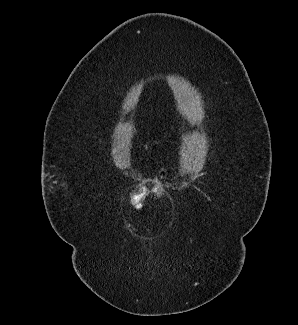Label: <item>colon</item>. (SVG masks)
<instances>
[{"label": "colon", "instance_id": "1", "mask_svg": "<svg viewBox=\"0 0 298 325\" xmlns=\"http://www.w3.org/2000/svg\"><path fill=\"white\" fill-rule=\"evenodd\" d=\"M164 173H161L160 180L164 179ZM158 195L162 196L164 194V187L161 182L155 184L152 187H149L148 185L141 184L137 187L136 193L133 197V203L137 209L142 208L144 200L149 195Z\"/></svg>", "mask_w": 298, "mask_h": 325}]
</instances>
